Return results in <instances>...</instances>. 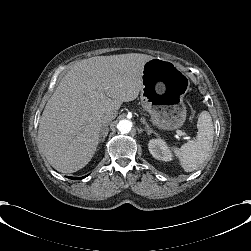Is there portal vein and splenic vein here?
Listing matches in <instances>:
<instances>
[{"instance_id":"portal-vein-and-splenic-vein-1","label":"portal vein and splenic vein","mask_w":251,"mask_h":251,"mask_svg":"<svg viewBox=\"0 0 251 251\" xmlns=\"http://www.w3.org/2000/svg\"><path fill=\"white\" fill-rule=\"evenodd\" d=\"M176 133H177L176 136H182V135H185V136H194L195 135L194 131H185V132H182L181 130H176ZM186 138H188V137H186Z\"/></svg>"}]
</instances>
